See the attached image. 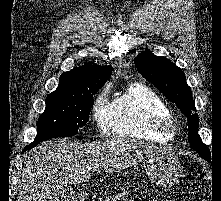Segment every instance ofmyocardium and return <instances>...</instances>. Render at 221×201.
Listing matches in <instances>:
<instances>
[{
    "instance_id": "1",
    "label": "myocardium",
    "mask_w": 221,
    "mask_h": 201,
    "mask_svg": "<svg viewBox=\"0 0 221 201\" xmlns=\"http://www.w3.org/2000/svg\"><path fill=\"white\" fill-rule=\"evenodd\" d=\"M154 125L157 131L166 133L171 137H174L178 131L177 123L171 116L158 119Z\"/></svg>"
}]
</instances>
